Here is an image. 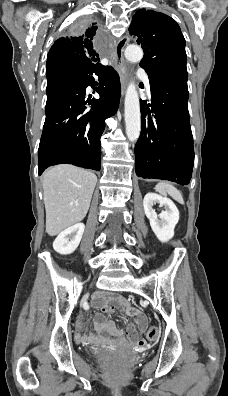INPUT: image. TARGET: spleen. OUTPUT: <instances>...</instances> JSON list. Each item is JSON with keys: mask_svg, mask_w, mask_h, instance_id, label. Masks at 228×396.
<instances>
[{"mask_svg": "<svg viewBox=\"0 0 228 396\" xmlns=\"http://www.w3.org/2000/svg\"><path fill=\"white\" fill-rule=\"evenodd\" d=\"M155 190L163 196L169 195L180 204H184L182 194L169 183L160 182L155 186Z\"/></svg>", "mask_w": 228, "mask_h": 396, "instance_id": "spleen-1", "label": "spleen"}]
</instances>
